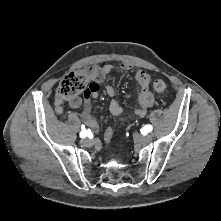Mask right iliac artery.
Listing matches in <instances>:
<instances>
[{
	"mask_svg": "<svg viewBox=\"0 0 221 221\" xmlns=\"http://www.w3.org/2000/svg\"><path fill=\"white\" fill-rule=\"evenodd\" d=\"M91 134L90 129H85V127L82 129V131L80 132V137L81 138H86L87 136H89Z\"/></svg>",
	"mask_w": 221,
	"mask_h": 221,
	"instance_id": "right-iliac-artery-1",
	"label": "right iliac artery"
}]
</instances>
